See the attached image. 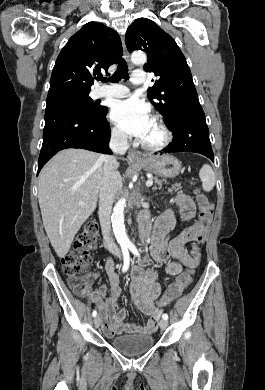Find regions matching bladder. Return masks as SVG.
Masks as SVG:
<instances>
[{"mask_svg":"<svg viewBox=\"0 0 265 390\" xmlns=\"http://www.w3.org/2000/svg\"><path fill=\"white\" fill-rule=\"evenodd\" d=\"M114 349L120 353L135 357L149 351L154 344V337L148 334L114 336L110 340Z\"/></svg>","mask_w":265,"mask_h":390,"instance_id":"obj_1","label":"bladder"}]
</instances>
